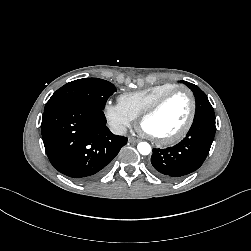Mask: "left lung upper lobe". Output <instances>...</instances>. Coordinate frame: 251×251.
Returning <instances> with one entry per match:
<instances>
[{
    "label": "left lung upper lobe",
    "instance_id": "obj_1",
    "mask_svg": "<svg viewBox=\"0 0 251 251\" xmlns=\"http://www.w3.org/2000/svg\"><path fill=\"white\" fill-rule=\"evenodd\" d=\"M184 83L193 91L196 98L195 119L208 116L215 117L213 107L211 106L206 94L196 85L184 81Z\"/></svg>",
    "mask_w": 251,
    "mask_h": 251
}]
</instances>
